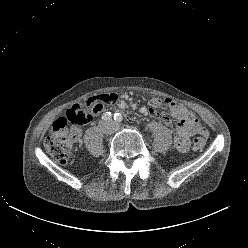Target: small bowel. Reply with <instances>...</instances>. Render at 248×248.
I'll return each mask as SVG.
<instances>
[{"label": "small bowel", "mask_w": 248, "mask_h": 248, "mask_svg": "<svg viewBox=\"0 0 248 248\" xmlns=\"http://www.w3.org/2000/svg\"><path fill=\"white\" fill-rule=\"evenodd\" d=\"M111 95L114 97V103L109 105H120L124 107V105L119 103L117 95L112 93ZM151 103L153 107H141L139 110L140 113L158 118L167 125L171 123V118L169 115L173 116L176 119L177 128L176 135L174 137L175 147L180 152L188 151L190 145V136L196 132L198 127L195 116L184 105L175 100H165V103L168 105V107L167 109H163V111L156 109L157 107H161L163 104L161 98H153ZM104 105L106 104L101 105L99 111L96 114L102 111Z\"/></svg>", "instance_id": "obj_1"}]
</instances>
